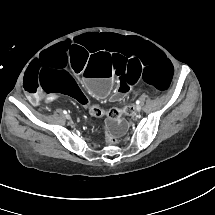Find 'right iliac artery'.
Returning a JSON list of instances; mask_svg holds the SVG:
<instances>
[{
  "label": "right iliac artery",
  "instance_id": "right-iliac-artery-1",
  "mask_svg": "<svg viewBox=\"0 0 215 215\" xmlns=\"http://www.w3.org/2000/svg\"><path fill=\"white\" fill-rule=\"evenodd\" d=\"M63 113H64V114H67V111H66V110H64V111H63ZM66 116H68V115H66Z\"/></svg>",
  "mask_w": 215,
  "mask_h": 215
}]
</instances>
